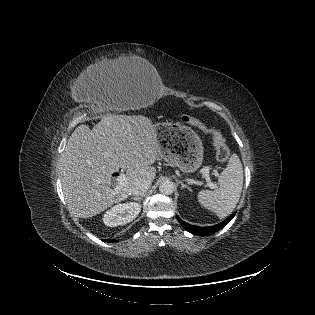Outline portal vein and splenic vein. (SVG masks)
I'll list each match as a JSON object with an SVG mask.
<instances>
[{
  "label": "portal vein and splenic vein",
  "mask_w": 315,
  "mask_h": 315,
  "mask_svg": "<svg viewBox=\"0 0 315 315\" xmlns=\"http://www.w3.org/2000/svg\"><path fill=\"white\" fill-rule=\"evenodd\" d=\"M204 177H205V180L207 181V185L209 188L211 189H214L216 188V185L211 182L210 180V177H209V169H202L201 172H200ZM189 182H193V179H187ZM125 181H126V175L125 174H120L117 178V182H118V185L114 188L113 190V194L116 195L119 193L120 189L122 188V186L125 184Z\"/></svg>",
  "instance_id": "obj_1"
}]
</instances>
